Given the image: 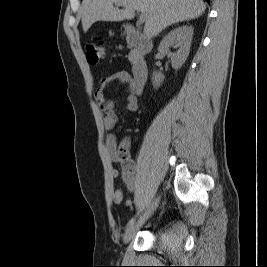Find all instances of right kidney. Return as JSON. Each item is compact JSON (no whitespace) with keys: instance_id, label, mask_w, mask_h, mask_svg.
<instances>
[{"instance_id":"right-kidney-1","label":"right kidney","mask_w":267,"mask_h":267,"mask_svg":"<svg viewBox=\"0 0 267 267\" xmlns=\"http://www.w3.org/2000/svg\"><path fill=\"white\" fill-rule=\"evenodd\" d=\"M193 37V28L191 26H180L171 30L160 42L158 51L161 55H166L171 60L172 67L179 69L185 63ZM178 48L177 52L172 53L170 48ZM164 80V75L153 72L152 83L154 87H159Z\"/></svg>"}]
</instances>
